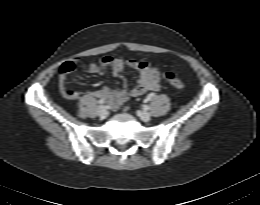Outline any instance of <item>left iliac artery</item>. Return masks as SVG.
<instances>
[{"mask_svg":"<svg viewBox=\"0 0 260 205\" xmlns=\"http://www.w3.org/2000/svg\"><path fill=\"white\" fill-rule=\"evenodd\" d=\"M149 106L148 105H144V110H148Z\"/></svg>","mask_w":260,"mask_h":205,"instance_id":"1","label":"left iliac artery"}]
</instances>
